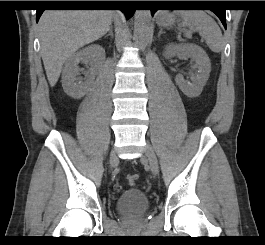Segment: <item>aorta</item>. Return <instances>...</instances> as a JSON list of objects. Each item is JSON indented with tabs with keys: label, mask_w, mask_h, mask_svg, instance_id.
<instances>
[{
	"label": "aorta",
	"mask_w": 265,
	"mask_h": 245,
	"mask_svg": "<svg viewBox=\"0 0 265 245\" xmlns=\"http://www.w3.org/2000/svg\"><path fill=\"white\" fill-rule=\"evenodd\" d=\"M151 23L150 10H136L134 18V31L138 42L143 43L148 35Z\"/></svg>",
	"instance_id": "aorta-1"
}]
</instances>
